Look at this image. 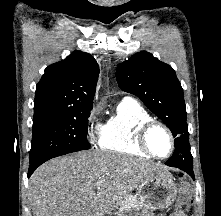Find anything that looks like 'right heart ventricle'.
<instances>
[{"label":"right heart ventricle","mask_w":221,"mask_h":216,"mask_svg":"<svg viewBox=\"0 0 221 216\" xmlns=\"http://www.w3.org/2000/svg\"><path fill=\"white\" fill-rule=\"evenodd\" d=\"M152 119L151 114L136 100L123 99L102 125L99 147L113 153L148 157L137 146L136 132L140 125Z\"/></svg>","instance_id":"e07e8e85"}]
</instances>
